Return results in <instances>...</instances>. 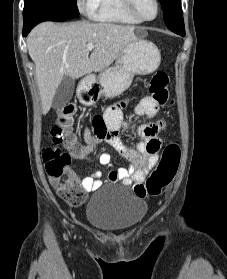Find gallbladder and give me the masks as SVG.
Returning a JSON list of instances; mask_svg holds the SVG:
<instances>
[{"label": "gallbladder", "mask_w": 227, "mask_h": 279, "mask_svg": "<svg viewBox=\"0 0 227 279\" xmlns=\"http://www.w3.org/2000/svg\"><path fill=\"white\" fill-rule=\"evenodd\" d=\"M74 88L75 80L69 76H64L53 98L52 107L54 109L64 107L71 100Z\"/></svg>", "instance_id": "bac80fb5"}]
</instances>
